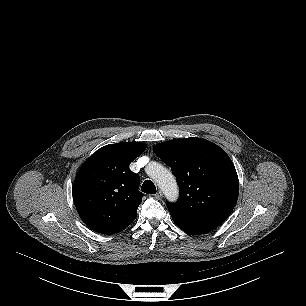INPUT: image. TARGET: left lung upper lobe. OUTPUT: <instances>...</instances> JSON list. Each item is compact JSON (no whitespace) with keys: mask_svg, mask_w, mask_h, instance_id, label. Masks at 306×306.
Segmentation results:
<instances>
[{"mask_svg":"<svg viewBox=\"0 0 306 306\" xmlns=\"http://www.w3.org/2000/svg\"><path fill=\"white\" fill-rule=\"evenodd\" d=\"M153 151L171 167L180 188L179 200L167 203L172 218L208 229L221 225L239 194L238 175L225 151L196 137L159 143Z\"/></svg>","mask_w":306,"mask_h":306,"instance_id":"left-lung-upper-lobe-1","label":"left lung upper lobe"}]
</instances>
